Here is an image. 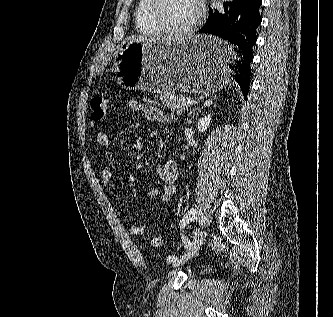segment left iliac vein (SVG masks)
Listing matches in <instances>:
<instances>
[{
	"label": "left iliac vein",
	"mask_w": 333,
	"mask_h": 317,
	"mask_svg": "<svg viewBox=\"0 0 333 317\" xmlns=\"http://www.w3.org/2000/svg\"><path fill=\"white\" fill-rule=\"evenodd\" d=\"M205 238H206L205 230L198 228L194 233L189 251L185 255H183L180 259L173 262V266L177 267L185 263L188 259H190L198 251Z\"/></svg>",
	"instance_id": "1"
}]
</instances>
